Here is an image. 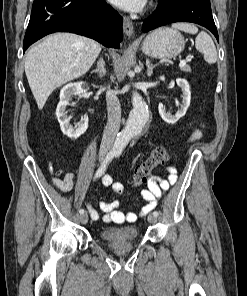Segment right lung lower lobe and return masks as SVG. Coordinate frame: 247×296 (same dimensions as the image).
Segmentation results:
<instances>
[{
	"label": "right lung lower lobe",
	"mask_w": 247,
	"mask_h": 296,
	"mask_svg": "<svg viewBox=\"0 0 247 296\" xmlns=\"http://www.w3.org/2000/svg\"><path fill=\"white\" fill-rule=\"evenodd\" d=\"M122 17L104 0H34L23 51L53 32L87 36L118 48L123 39Z\"/></svg>",
	"instance_id": "1"
}]
</instances>
